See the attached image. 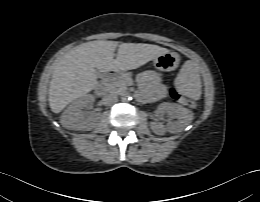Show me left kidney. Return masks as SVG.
<instances>
[{
    "label": "left kidney",
    "instance_id": "left-kidney-1",
    "mask_svg": "<svg viewBox=\"0 0 260 202\" xmlns=\"http://www.w3.org/2000/svg\"><path fill=\"white\" fill-rule=\"evenodd\" d=\"M158 112L169 115L172 121H169L166 126L162 123L151 122V129L157 135H163L166 131L178 133L189 125L193 119L192 111L176 103H162L158 106Z\"/></svg>",
    "mask_w": 260,
    "mask_h": 202
}]
</instances>
